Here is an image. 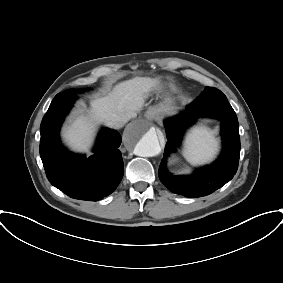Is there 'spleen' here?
Masks as SVG:
<instances>
[{
    "instance_id": "obj_1",
    "label": "spleen",
    "mask_w": 283,
    "mask_h": 283,
    "mask_svg": "<svg viewBox=\"0 0 283 283\" xmlns=\"http://www.w3.org/2000/svg\"><path fill=\"white\" fill-rule=\"evenodd\" d=\"M217 149L214 131L206 126H195L186 135L183 155L190 163L200 165L210 161Z\"/></svg>"
}]
</instances>
